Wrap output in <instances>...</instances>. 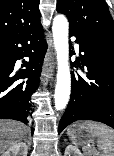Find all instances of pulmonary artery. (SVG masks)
<instances>
[{"label":"pulmonary artery","instance_id":"obj_1","mask_svg":"<svg viewBox=\"0 0 114 156\" xmlns=\"http://www.w3.org/2000/svg\"><path fill=\"white\" fill-rule=\"evenodd\" d=\"M75 48L77 51H79V45L78 44H75Z\"/></svg>","mask_w":114,"mask_h":156}]
</instances>
